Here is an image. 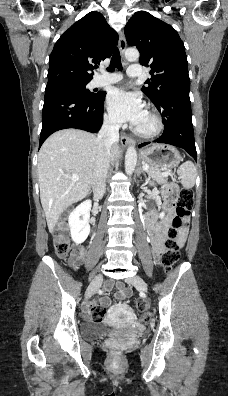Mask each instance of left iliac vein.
Returning <instances> with one entry per match:
<instances>
[{
	"label": "left iliac vein",
	"mask_w": 228,
	"mask_h": 396,
	"mask_svg": "<svg viewBox=\"0 0 228 396\" xmlns=\"http://www.w3.org/2000/svg\"><path fill=\"white\" fill-rule=\"evenodd\" d=\"M128 283L134 285L139 288L142 292L147 293L148 286L146 282L138 275H134L126 280Z\"/></svg>",
	"instance_id": "4c4485c4"
}]
</instances>
